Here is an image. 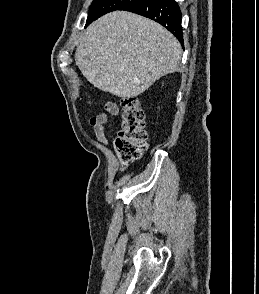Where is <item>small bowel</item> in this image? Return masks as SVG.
I'll use <instances>...</instances> for the list:
<instances>
[{
    "label": "small bowel",
    "instance_id": "obj_1",
    "mask_svg": "<svg viewBox=\"0 0 259 294\" xmlns=\"http://www.w3.org/2000/svg\"><path fill=\"white\" fill-rule=\"evenodd\" d=\"M119 113V107L115 102H108L105 106V112H101L93 116L89 124L92 127L96 139L102 143H107V138L105 135V125L108 122V116H117Z\"/></svg>",
    "mask_w": 259,
    "mask_h": 294
}]
</instances>
